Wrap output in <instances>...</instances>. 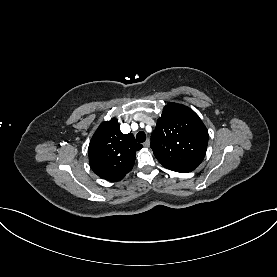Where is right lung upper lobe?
<instances>
[{
  "mask_svg": "<svg viewBox=\"0 0 277 277\" xmlns=\"http://www.w3.org/2000/svg\"><path fill=\"white\" fill-rule=\"evenodd\" d=\"M142 148L133 134H123L116 118L103 122L89 144V164L92 170L108 181H120L130 172L136 151Z\"/></svg>",
  "mask_w": 277,
  "mask_h": 277,
  "instance_id": "cb5924a9",
  "label": "right lung upper lobe"
}]
</instances>
